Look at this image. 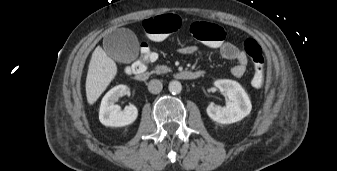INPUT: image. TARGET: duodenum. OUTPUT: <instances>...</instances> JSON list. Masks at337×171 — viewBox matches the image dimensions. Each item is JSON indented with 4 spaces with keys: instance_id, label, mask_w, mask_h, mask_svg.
I'll use <instances>...</instances> for the list:
<instances>
[{
    "instance_id": "410a0bca",
    "label": "duodenum",
    "mask_w": 337,
    "mask_h": 171,
    "mask_svg": "<svg viewBox=\"0 0 337 171\" xmlns=\"http://www.w3.org/2000/svg\"><path fill=\"white\" fill-rule=\"evenodd\" d=\"M135 65V64H134ZM132 68L133 74L138 80H146L148 78V72L146 68L143 67H134ZM204 75V72L201 70L197 71H181L176 74V78L181 80H196Z\"/></svg>"
}]
</instances>
